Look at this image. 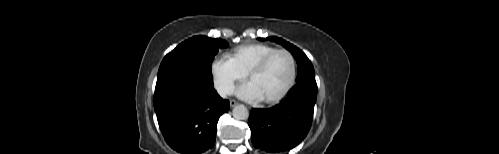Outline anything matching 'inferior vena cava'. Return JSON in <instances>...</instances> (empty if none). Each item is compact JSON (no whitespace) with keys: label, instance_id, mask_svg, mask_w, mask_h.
I'll use <instances>...</instances> for the list:
<instances>
[{"label":"inferior vena cava","instance_id":"1","mask_svg":"<svg viewBox=\"0 0 499 154\" xmlns=\"http://www.w3.org/2000/svg\"><path fill=\"white\" fill-rule=\"evenodd\" d=\"M232 90V87L230 86H221L218 88V93L222 96L225 97L228 93H230Z\"/></svg>","mask_w":499,"mask_h":154}]
</instances>
